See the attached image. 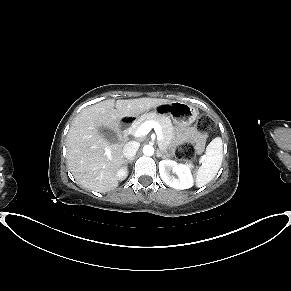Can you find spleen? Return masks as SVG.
I'll return each instance as SVG.
<instances>
[{
	"mask_svg": "<svg viewBox=\"0 0 291 291\" xmlns=\"http://www.w3.org/2000/svg\"><path fill=\"white\" fill-rule=\"evenodd\" d=\"M223 143L220 137L213 139L202 157V165L196 172V186L208 184L217 175L223 159Z\"/></svg>",
	"mask_w": 291,
	"mask_h": 291,
	"instance_id": "1",
	"label": "spleen"
}]
</instances>
